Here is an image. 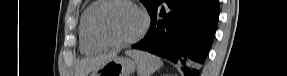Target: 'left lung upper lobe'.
<instances>
[{"label":"left lung upper lobe","mask_w":287,"mask_h":76,"mask_svg":"<svg viewBox=\"0 0 287 76\" xmlns=\"http://www.w3.org/2000/svg\"><path fill=\"white\" fill-rule=\"evenodd\" d=\"M144 6L146 7L147 11L151 13L155 7H157L160 3L164 0H140Z\"/></svg>","instance_id":"5c2ea615"}]
</instances>
